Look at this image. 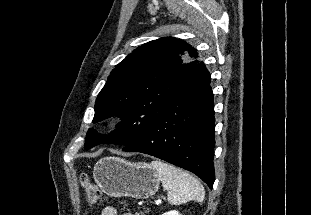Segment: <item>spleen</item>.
Listing matches in <instances>:
<instances>
[{"instance_id": "1", "label": "spleen", "mask_w": 311, "mask_h": 215, "mask_svg": "<svg viewBox=\"0 0 311 215\" xmlns=\"http://www.w3.org/2000/svg\"><path fill=\"white\" fill-rule=\"evenodd\" d=\"M162 186L168 191V202L180 205L188 201L201 203L204 200L203 185L190 173L160 160L151 162Z\"/></svg>"}]
</instances>
